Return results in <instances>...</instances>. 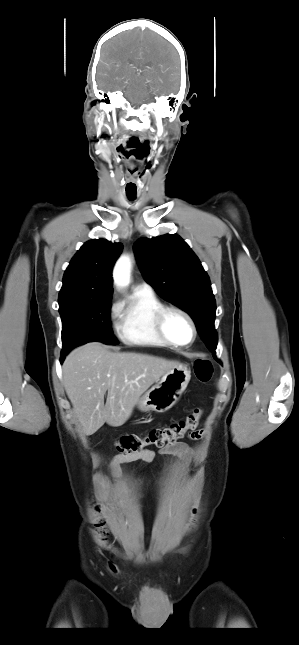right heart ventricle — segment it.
<instances>
[{"label":"right heart ventricle","instance_id":"1","mask_svg":"<svg viewBox=\"0 0 299 645\" xmlns=\"http://www.w3.org/2000/svg\"><path fill=\"white\" fill-rule=\"evenodd\" d=\"M163 306L153 292L134 290L130 299L117 312L116 329L119 338L124 343L135 346H168L155 328L156 314Z\"/></svg>","mask_w":299,"mask_h":645}]
</instances>
